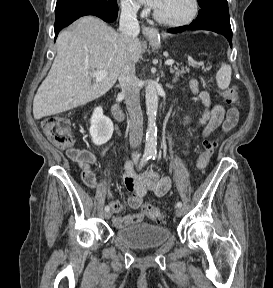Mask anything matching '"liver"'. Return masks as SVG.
<instances>
[{
	"label": "liver",
	"mask_w": 273,
	"mask_h": 288,
	"mask_svg": "<svg viewBox=\"0 0 273 288\" xmlns=\"http://www.w3.org/2000/svg\"><path fill=\"white\" fill-rule=\"evenodd\" d=\"M57 55L33 101V115L41 119L85 105L107 93L115 84L128 58L135 63L141 55L139 39L132 51L125 35L93 16L80 18L56 41ZM107 71L92 83L93 71Z\"/></svg>",
	"instance_id": "liver-1"
}]
</instances>
